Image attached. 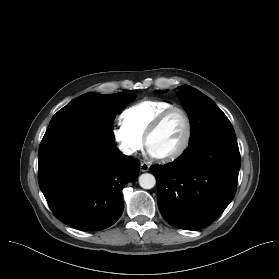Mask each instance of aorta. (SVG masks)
Returning <instances> with one entry per match:
<instances>
[{
    "mask_svg": "<svg viewBox=\"0 0 279 279\" xmlns=\"http://www.w3.org/2000/svg\"><path fill=\"white\" fill-rule=\"evenodd\" d=\"M139 185L143 189H151L156 185V179L153 174L144 173L139 177Z\"/></svg>",
    "mask_w": 279,
    "mask_h": 279,
    "instance_id": "aorta-1",
    "label": "aorta"
}]
</instances>
